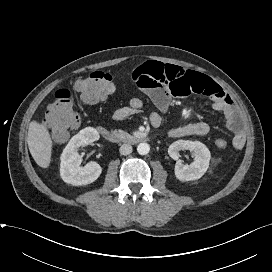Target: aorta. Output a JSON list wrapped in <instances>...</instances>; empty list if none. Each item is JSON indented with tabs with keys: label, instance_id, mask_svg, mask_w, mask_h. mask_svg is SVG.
<instances>
[{
	"label": "aorta",
	"instance_id": "obj_1",
	"mask_svg": "<svg viewBox=\"0 0 272 272\" xmlns=\"http://www.w3.org/2000/svg\"><path fill=\"white\" fill-rule=\"evenodd\" d=\"M150 151V146L149 144L147 143H140L138 146H137V152L140 154V155H146L148 154Z\"/></svg>",
	"mask_w": 272,
	"mask_h": 272
}]
</instances>
